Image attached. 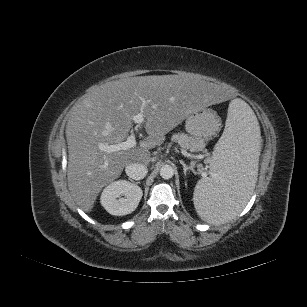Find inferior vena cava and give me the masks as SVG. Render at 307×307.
Listing matches in <instances>:
<instances>
[{
	"label": "inferior vena cava",
	"instance_id": "1",
	"mask_svg": "<svg viewBox=\"0 0 307 307\" xmlns=\"http://www.w3.org/2000/svg\"><path fill=\"white\" fill-rule=\"evenodd\" d=\"M125 172L131 179L141 180L146 176L148 169L143 164L131 163L126 166Z\"/></svg>",
	"mask_w": 307,
	"mask_h": 307
}]
</instances>
